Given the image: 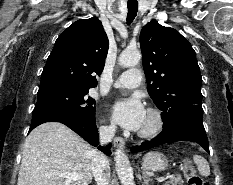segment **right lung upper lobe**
Wrapping results in <instances>:
<instances>
[{
  "label": "right lung upper lobe",
  "mask_w": 233,
  "mask_h": 185,
  "mask_svg": "<svg viewBox=\"0 0 233 185\" xmlns=\"http://www.w3.org/2000/svg\"><path fill=\"white\" fill-rule=\"evenodd\" d=\"M109 47L107 35L97 17L80 19L56 40L41 75L39 90L66 87H96Z\"/></svg>",
  "instance_id": "1"
}]
</instances>
